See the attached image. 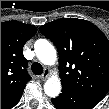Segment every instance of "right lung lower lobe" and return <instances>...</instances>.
Returning <instances> with one entry per match:
<instances>
[{
  "label": "right lung lower lobe",
  "instance_id": "1",
  "mask_svg": "<svg viewBox=\"0 0 109 109\" xmlns=\"http://www.w3.org/2000/svg\"><path fill=\"white\" fill-rule=\"evenodd\" d=\"M24 91V88L21 89L20 91H18L15 95H13L11 98L3 101L1 103V109H11L12 107H14L18 101L20 100L22 93Z\"/></svg>",
  "mask_w": 109,
  "mask_h": 109
}]
</instances>
